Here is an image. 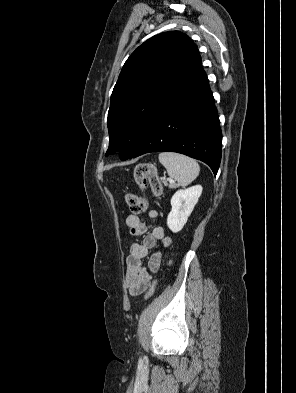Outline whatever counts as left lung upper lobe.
<instances>
[{
  "instance_id": "left-lung-upper-lobe-1",
  "label": "left lung upper lobe",
  "mask_w": 296,
  "mask_h": 393,
  "mask_svg": "<svg viewBox=\"0 0 296 393\" xmlns=\"http://www.w3.org/2000/svg\"><path fill=\"white\" fill-rule=\"evenodd\" d=\"M197 46L179 31L145 41L127 59L111 95L109 148L127 160L167 105L200 72Z\"/></svg>"
}]
</instances>
